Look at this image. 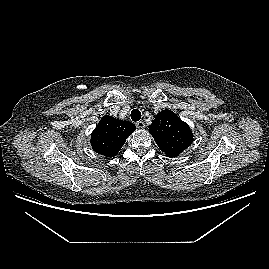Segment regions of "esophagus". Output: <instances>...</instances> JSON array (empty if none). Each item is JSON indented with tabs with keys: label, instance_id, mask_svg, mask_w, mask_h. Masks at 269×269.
I'll return each instance as SVG.
<instances>
[{
	"label": "esophagus",
	"instance_id": "esophagus-1",
	"mask_svg": "<svg viewBox=\"0 0 269 269\" xmlns=\"http://www.w3.org/2000/svg\"><path fill=\"white\" fill-rule=\"evenodd\" d=\"M136 126L138 129H144L145 123L143 121H138V122H136Z\"/></svg>",
	"mask_w": 269,
	"mask_h": 269
}]
</instances>
